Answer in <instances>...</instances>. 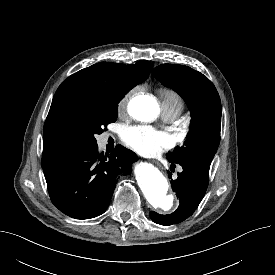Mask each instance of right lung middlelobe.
<instances>
[{
    "label": "right lung middle lobe",
    "instance_id": "1",
    "mask_svg": "<svg viewBox=\"0 0 275 275\" xmlns=\"http://www.w3.org/2000/svg\"><path fill=\"white\" fill-rule=\"evenodd\" d=\"M117 103L69 105L58 115V120L73 144L78 149L97 146L96 134L106 130L117 119Z\"/></svg>",
    "mask_w": 275,
    "mask_h": 275
}]
</instances>
